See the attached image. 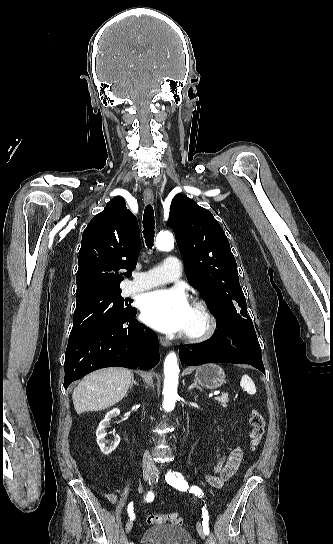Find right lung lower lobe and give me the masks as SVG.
I'll use <instances>...</instances> for the list:
<instances>
[{"instance_id":"obj_1","label":"right lung lower lobe","mask_w":333,"mask_h":544,"mask_svg":"<svg viewBox=\"0 0 333 544\" xmlns=\"http://www.w3.org/2000/svg\"><path fill=\"white\" fill-rule=\"evenodd\" d=\"M137 310L69 340L65 353V389L75 380L105 367L148 370L159 362L156 335L136 319Z\"/></svg>"}]
</instances>
